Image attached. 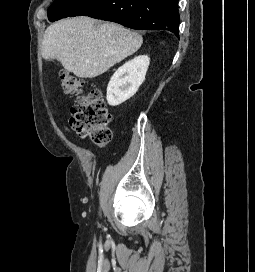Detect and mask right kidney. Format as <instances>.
Wrapping results in <instances>:
<instances>
[{"mask_svg": "<svg viewBox=\"0 0 255 272\" xmlns=\"http://www.w3.org/2000/svg\"><path fill=\"white\" fill-rule=\"evenodd\" d=\"M150 63L147 55H140L122 65L111 77L107 87V102L118 106L130 99L144 82Z\"/></svg>", "mask_w": 255, "mask_h": 272, "instance_id": "ca27d5eb", "label": "right kidney"}]
</instances>
